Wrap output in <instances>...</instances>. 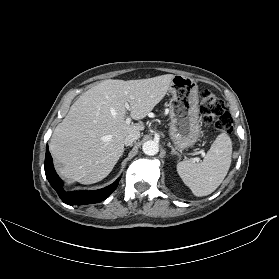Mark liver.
<instances>
[{"instance_id":"liver-1","label":"liver","mask_w":279,"mask_h":279,"mask_svg":"<svg viewBox=\"0 0 279 279\" xmlns=\"http://www.w3.org/2000/svg\"><path fill=\"white\" fill-rule=\"evenodd\" d=\"M173 77L109 79L83 93L50 139L58 172L81 184H93L108 176L124 151L126 135L144 130L143 124L125 122V103L132 119L145 118L164 98Z\"/></svg>"}]
</instances>
